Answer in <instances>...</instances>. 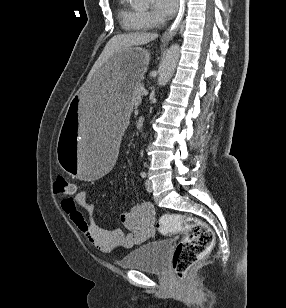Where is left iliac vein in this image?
Returning <instances> with one entry per match:
<instances>
[{
  "instance_id": "1",
  "label": "left iliac vein",
  "mask_w": 286,
  "mask_h": 308,
  "mask_svg": "<svg viewBox=\"0 0 286 308\" xmlns=\"http://www.w3.org/2000/svg\"><path fill=\"white\" fill-rule=\"evenodd\" d=\"M145 187H146V190H147L148 192H152V191H153V186H152L151 180L147 179V180L145 181Z\"/></svg>"
}]
</instances>
